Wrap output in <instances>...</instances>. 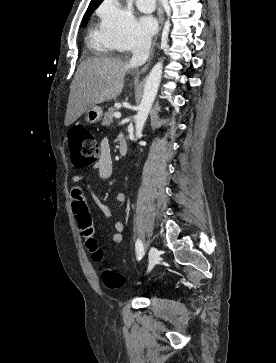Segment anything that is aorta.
I'll use <instances>...</instances> for the list:
<instances>
[{
	"label": "aorta",
	"mask_w": 276,
	"mask_h": 363,
	"mask_svg": "<svg viewBox=\"0 0 276 363\" xmlns=\"http://www.w3.org/2000/svg\"><path fill=\"white\" fill-rule=\"evenodd\" d=\"M163 72V63L157 62L149 73L145 86L143 97L139 105L138 113L135 117V136L139 138L142 134L143 127L147 120L148 114L154 103L158 87L160 85Z\"/></svg>",
	"instance_id": "762f6f07"
}]
</instances>
